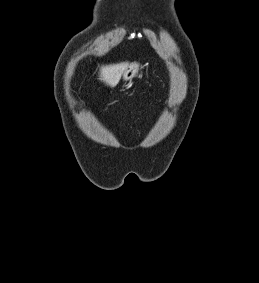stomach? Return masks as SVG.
Here are the masks:
<instances>
[{"instance_id":"stomach-1","label":"stomach","mask_w":259,"mask_h":283,"mask_svg":"<svg viewBox=\"0 0 259 283\" xmlns=\"http://www.w3.org/2000/svg\"><path fill=\"white\" fill-rule=\"evenodd\" d=\"M139 71V64L137 62L131 63L130 65L127 66L123 73V79L125 81H130L132 80L138 73Z\"/></svg>"}]
</instances>
